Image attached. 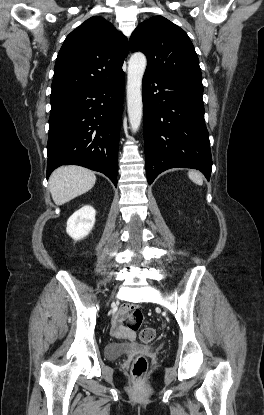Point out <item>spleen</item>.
I'll use <instances>...</instances> for the list:
<instances>
[{"label": "spleen", "instance_id": "spleen-1", "mask_svg": "<svg viewBox=\"0 0 264 415\" xmlns=\"http://www.w3.org/2000/svg\"><path fill=\"white\" fill-rule=\"evenodd\" d=\"M189 178L196 184L198 185H202L203 180H202V176L199 172L197 171H189L188 173Z\"/></svg>", "mask_w": 264, "mask_h": 415}]
</instances>
